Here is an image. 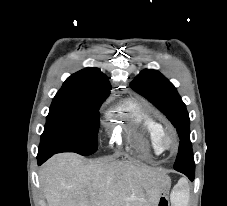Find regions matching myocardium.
Listing matches in <instances>:
<instances>
[{
    "label": "myocardium",
    "mask_w": 227,
    "mask_h": 206,
    "mask_svg": "<svg viewBox=\"0 0 227 206\" xmlns=\"http://www.w3.org/2000/svg\"><path fill=\"white\" fill-rule=\"evenodd\" d=\"M178 138L172 130L163 129L158 137L161 152H170L177 148Z\"/></svg>",
    "instance_id": "f54148a6"
}]
</instances>
